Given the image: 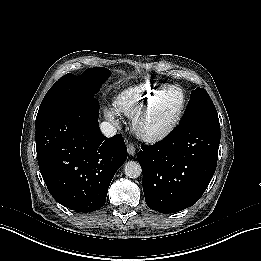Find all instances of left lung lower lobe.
<instances>
[{"label": "left lung lower lobe", "instance_id": "0a47b994", "mask_svg": "<svg viewBox=\"0 0 261 261\" xmlns=\"http://www.w3.org/2000/svg\"><path fill=\"white\" fill-rule=\"evenodd\" d=\"M219 143V120L201 118L179 124L155 145L142 146L137 158L146 204L160 213L194 205L215 172Z\"/></svg>", "mask_w": 261, "mask_h": 261}]
</instances>
